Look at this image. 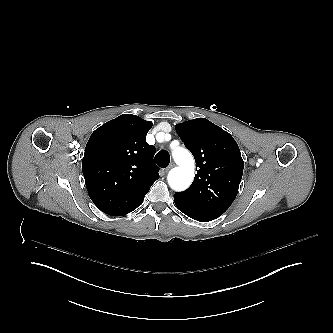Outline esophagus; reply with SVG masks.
Wrapping results in <instances>:
<instances>
[{
  "mask_svg": "<svg viewBox=\"0 0 333 333\" xmlns=\"http://www.w3.org/2000/svg\"><path fill=\"white\" fill-rule=\"evenodd\" d=\"M175 166L174 162H171L168 167L164 170L165 173H167L170 169H172Z\"/></svg>",
  "mask_w": 333,
  "mask_h": 333,
  "instance_id": "obj_1",
  "label": "esophagus"
}]
</instances>
